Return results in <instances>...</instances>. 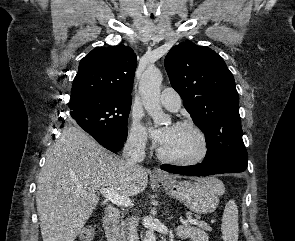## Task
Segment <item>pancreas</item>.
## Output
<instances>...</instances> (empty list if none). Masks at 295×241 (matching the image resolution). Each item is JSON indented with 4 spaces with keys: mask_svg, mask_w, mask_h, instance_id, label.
Segmentation results:
<instances>
[{
    "mask_svg": "<svg viewBox=\"0 0 295 241\" xmlns=\"http://www.w3.org/2000/svg\"><path fill=\"white\" fill-rule=\"evenodd\" d=\"M125 226L126 225L124 222H121L120 225L118 226L117 229L121 234L125 233ZM198 227H199V229H202V230L211 231V227L207 223H205L204 221H200L198 224Z\"/></svg>",
    "mask_w": 295,
    "mask_h": 241,
    "instance_id": "pancreas-1",
    "label": "pancreas"
}]
</instances>
